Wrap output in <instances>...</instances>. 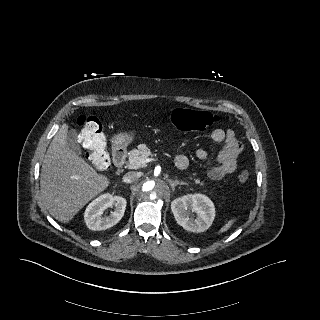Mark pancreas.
I'll list each match as a JSON object with an SVG mask.
<instances>
[{
    "label": "pancreas",
    "instance_id": "1",
    "mask_svg": "<svg viewBox=\"0 0 320 320\" xmlns=\"http://www.w3.org/2000/svg\"><path fill=\"white\" fill-rule=\"evenodd\" d=\"M129 160H128V166L133 168L135 166L136 168H140L145 166V164H141L140 160L141 159H146L149 156H152V153L150 149L145 145V144H140L138 145V149H132L129 153ZM134 168V169H136ZM192 179V178H191ZM196 184L204 185L202 181L199 179H195Z\"/></svg>",
    "mask_w": 320,
    "mask_h": 320
}]
</instances>
